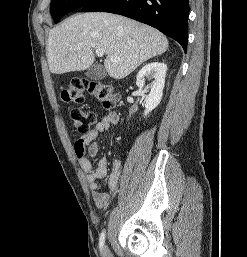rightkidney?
Returning <instances> with one entry per match:
<instances>
[{
    "label": "right kidney",
    "mask_w": 247,
    "mask_h": 257,
    "mask_svg": "<svg viewBox=\"0 0 247 257\" xmlns=\"http://www.w3.org/2000/svg\"><path fill=\"white\" fill-rule=\"evenodd\" d=\"M167 65L161 62H152L145 65L137 74L136 85L143 88L147 78H153L150 93L145 101L144 116H147L160 103L163 96Z\"/></svg>",
    "instance_id": "obj_1"
}]
</instances>
